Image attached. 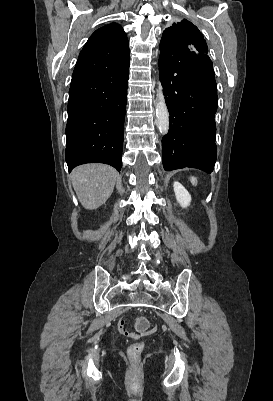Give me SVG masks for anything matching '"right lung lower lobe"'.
<instances>
[{"mask_svg":"<svg viewBox=\"0 0 273 401\" xmlns=\"http://www.w3.org/2000/svg\"><path fill=\"white\" fill-rule=\"evenodd\" d=\"M128 76L129 59L70 86L65 150L69 171L84 163L121 170Z\"/></svg>","mask_w":273,"mask_h":401,"instance_id":"98d812e1","label":"right lung lower lobe"}]
</instances>
